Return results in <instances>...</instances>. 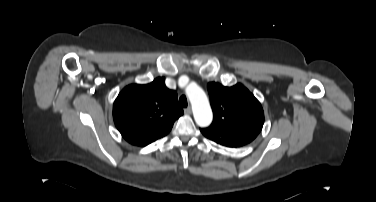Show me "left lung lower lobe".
<instances>
[{"label": "left lung lower lobe", "mask_w": 376, "mask_h": 202, "mask_svg": "<svg viewBox=\"0 0 376 202\" xmlns=\"http://www.w3.org/2000/svg\"><path fill=\"white\" fill-rule=\"evenodd\" d=\"M201 132L208 139H210V140H212L216 143H219L221 145L227 146V147H240V146L244 145L243 143L223 138V137H221L217 134H214V133H212V132H210L206 129H201Z\"/></svg>", "instance_id": "left-lung-lower-lobe-1"}]
</instances>
